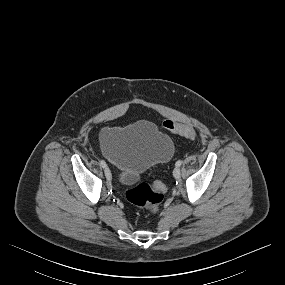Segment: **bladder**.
Masks as SVG:
<instances>
[{
	"label": "bladder",
	"instance_id": "1",
	"mask_svg": "<svg viewBox=\"0 0 285 285\" xmlns=\"http://www.w3.org/2000/svg\"><path fill=\"white\" fill-rule=\"evenodd\" d=\"M100 143L122 186L134 185L143 172L166 162L174 152L171 138L147 120L126 127H107L101 131Z\"/></svg>",
	"mask_w": 285,
	"mask_h": 285
}]
</instances>
